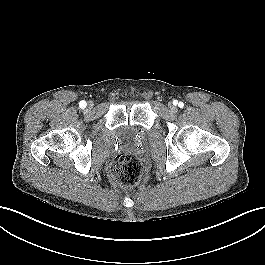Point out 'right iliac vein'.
<instances>
[{
	"label": "right iliac vein",
	"mask_w": 265,
	"mask_h": 265,
	"mask_svg": "<svg viewBox=\"0 0 265 265\" xmlns=\"http://www.w3.org/2000/svg\"><path fill=\"white\" fill-rule=\"evenodd\" d=\"M89 106H90V107H92V106H93V104H92V103H89Z\"/></svg>",
	"instance_id": "right-iliac-vein-1"
}]
</instances>
